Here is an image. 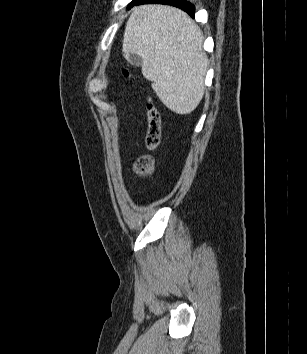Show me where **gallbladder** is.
Here are the masks:
<instances>
[{
	"label": "gallbladder",
	"instance_id": "obj_1",
	"mask_svg": "<svg viewBox=\"0 0 307 354\" xmlns=\"http://www.w3.org/2000/svg\"><path fill=\"white\" fill-rule=\"evenodd\" d=\"M127 61L134 65V66H141L142 65V58L138 56L137 54H129L126 56Z\"/></svg>",
	"mask_w": 307,
	"mask_h": 354
}]
</instances>
